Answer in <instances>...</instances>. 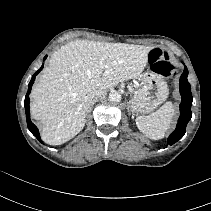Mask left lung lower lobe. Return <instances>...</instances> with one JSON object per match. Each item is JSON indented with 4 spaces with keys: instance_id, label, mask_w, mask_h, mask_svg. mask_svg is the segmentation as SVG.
Returning <instances> with one entry per match:
<instances>
[{
    "instance_id": "obj_1",
    "label": "left lung lower lobe",
    "mask_w": 211,
    "mask_h": 211,
    "mask_svg": "<svg viewBox=\"0 0 211 211\" xmlns=\"http://www.w3.org/2000/svg\"><path fill=\"white\" fill-rule=\"evenodd\" d=\"M187 75L188 70L185 66L184 72L180 77V94L182 96V101L180 104V117L178 119L175 131L168 138L169 145H173L184 136L187 123L192 117L191 105L193 98L191 94V87L187 80Z\"/></svg>"
}]
</instances>
